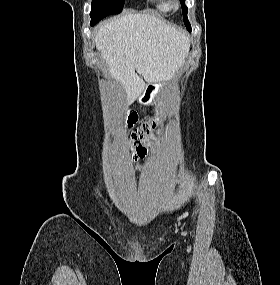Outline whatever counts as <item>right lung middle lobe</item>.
Listing matches in <instances>:
<instances>
[{
  "mask_svg": "<svg viewBox=\"0 0 280 285\" xmlns=\"http://www.w3.org/2000/svg\"><path fill=\"white\" fill-rule=\"evenodd\" d=\"M122 8L123 0H93L92 9L90 12V25H95L102 18L108 15L117 14L121 12Z\"/></svg>",
  "mask_w": 280,
  "mask_h": 285,
  "instance_id": "dd1d6c3e",
  "label": "right lung middle lobe"
}]
</instances>
